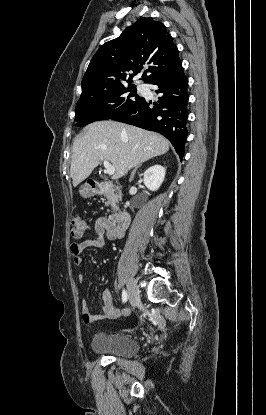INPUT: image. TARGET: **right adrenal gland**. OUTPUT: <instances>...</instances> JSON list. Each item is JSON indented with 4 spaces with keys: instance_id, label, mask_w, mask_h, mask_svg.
Listing matches in <instances>:
<instances>
[{
    "instance_id": "obj_1",
    "label": "right adrenal gland",
    "mask_w": 266,
    "mask_h": 415,
    "mask_svg": "<svg viewBox=\"0 0 266 415\" xmlns=\"http://www.w3.org/2000/svg\"><path fill=\"white\" fill-rule=\"evenodd\" d=\"M142 166V163H140L138 166H136L135 167V169L133 170V172L131 173V176H130V182L133 180V178H134V175H135V173H136V171L138 170V168H140Z\"/></svg>"
}]
</instances>
